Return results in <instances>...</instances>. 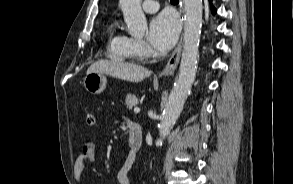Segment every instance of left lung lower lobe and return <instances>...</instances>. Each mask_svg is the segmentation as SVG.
<instances>
[{
    "instance_id": "0a47b994",
    "label": "left lung lower lobe",
    "mask_w": 293,
    "mask_h": 184,
    "mask_svg": "<svg viewBox=\"0 0 293 184\" xmlns=\"http://www.w3.org/2000/svg\"><path fill=\"white\" fill-rule=\"evenodd\" d=\"M209 1L211 2L212 0H209ZM211 11H212L213 14L216 13V9L213 7V5H211Z\"/></svg>"
}]
</instances>
